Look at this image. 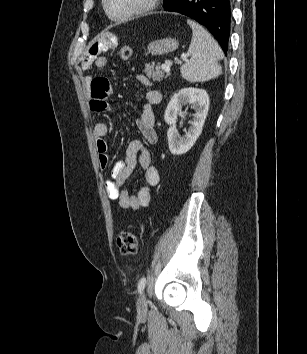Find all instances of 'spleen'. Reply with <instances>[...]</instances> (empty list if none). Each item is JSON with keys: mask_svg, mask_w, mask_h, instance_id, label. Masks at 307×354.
<instances>
[{"mask_svg": "<svg viewBox=\"0 0 307 354\" xmlns=\"http://www.w3.org/2000/svg\"><path fill=\"white\" fill-rule=\"evenodd\" d=\"M193 31L189 46L190 59L180 72L190 82H204L217 78L221 73L222 51L215 39L199 24L188 20Z\"/></svg>", "mask_w": 307, "mask_h": 354, "instance_id": "3e777b00", "label": "spleen"}]
</instances>
